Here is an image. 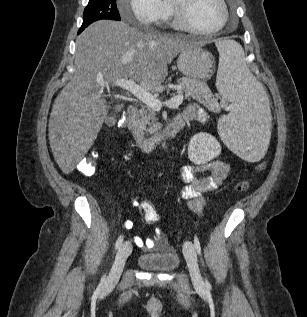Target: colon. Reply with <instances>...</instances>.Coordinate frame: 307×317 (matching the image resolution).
Here are the masks:
<instances>
[{"instance_id": "colon-1", "label": "colon", "mask_w": 307, "mask_h": 317, "mask_svg": "<svg viewBox=\"0 0 307 317\" xmlns=\"http://www.w3.org/2000/svg\"><path fill=\"white\" fill-rule=\"evenodd\" d=\"M117 127L119 131H124L127 127V122L125 118H120L117 121ZM97 159L98 156L95 152H89L78 164V169L81 173L85 175H93L96 172V166H97ZM266 168V163L261 162L258 163L255 167L256 171H263ZM251 181L250 179H244L236 183L235 190L237 192H243L248 190L250 187ZM141 208L143 211V217L144 220L151 224V225H157L160 221V217L152 203L145 199L141 203Z\"/></svg>"}]
</instances>
